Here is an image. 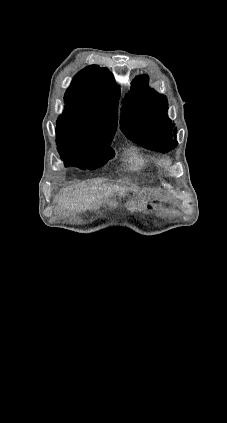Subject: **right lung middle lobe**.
<instances>
[{"label": "right lung middle lobe", "mask_w": 227, "mask_h": 423, "mask_svg": "<svg viewBox=\"0 0 227 423\" xmlns=\"http://www.w3.org/2000/svg\"><path fill=\"white\" fill-rule=\"evenodd\" d=\"M112 139L57 141V149L66 166L95 169L114 157L110 147Z\"/></svg>", "instance_id": "1"}]
</instances>
